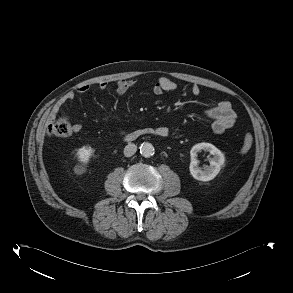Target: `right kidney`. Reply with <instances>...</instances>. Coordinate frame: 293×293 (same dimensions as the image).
<instances>
[{
	"label": "right kidney",
	"instance_id": "1",
	"mask_svg": "<svg viewBox=\"0 0 293 293\" xmlns=\"http://www.w3.org/2000/svg\"><path fill=\"white\" fill-rule=\"evenodd\" d=\"M93 152L94 150L90 146H83L77 150L76 156L81 165L76 166V174H82L85 172V166L89 163Z\"/></svg>",
	"mask_w": 293,
	"mask_h": 293
}]
</instances>
